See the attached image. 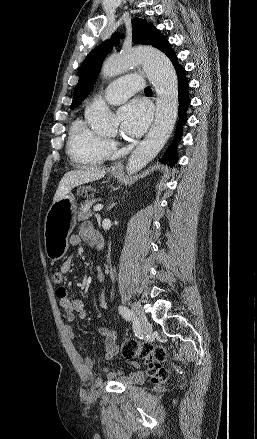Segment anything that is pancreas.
<instances>
[{
    "mask_svg": "<svg viewBox=\"0 0 257 439\" xmlns=\"http://www.w3.org/2000/svg\"><path fill=\"white\" fill-rule=\"evenodd\" d=\"M94 202V200H86L84 203H82L78 210L77 218L79 221L86 220L92 216V211L90 210L91 203Z\"/></svg>",
    "mask_w": 257,
    "mask_h": 439,
    "instance_id": "cf45deb5",
    "label": "pancreas"
}]
</instances>
